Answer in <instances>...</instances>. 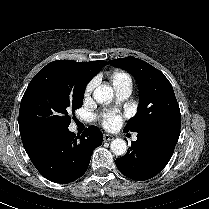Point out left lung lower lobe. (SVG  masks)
<instances>
[{
    "mask_svg": "<svg viewBox=\"0 0 209 209\" xmlns=\"http://www.w3.org/2000/svg\"><path fill=\"white\" fill-rule=\"evenodd\" d=\"M130 150L116 159V166L126 177L144 181L160 173L171 159L180 130H142L137 132Z\"/></svg>",
    "mask_w": 209,
    "mask_h": 209,
    "instance_id": "left-lung-lower-lobe-1",
    "label": "left lung lower lobe"
}]
</instances>
